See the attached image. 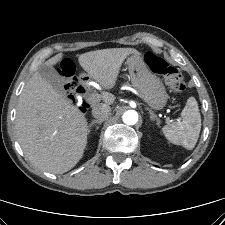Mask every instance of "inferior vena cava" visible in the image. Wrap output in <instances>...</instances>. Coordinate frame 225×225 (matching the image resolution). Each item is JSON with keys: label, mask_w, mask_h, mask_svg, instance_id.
Masks as SVG:
<instances>
[{"label": "inferior vena cava", "mask_w": 225, "mask_h": 225, "mask_svg": "<svg viewBox=\"0 0 225 225\" xmlns=\"http://www.w3.org/2000/svg\"><path fill=\"white\" fill-rule=\"evenodd\" d=\"M111 114V108L107 104H98L92 108V115L98 120H104Z\"/></svg>", "instance_id": "602c4592"}]
</instances>
